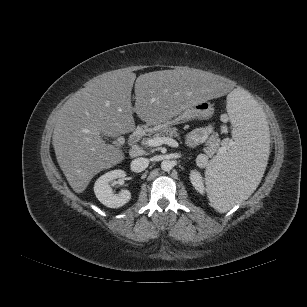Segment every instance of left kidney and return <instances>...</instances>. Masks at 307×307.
I'll return each instance as SVG.
<instances>
[{
  "mask_svg": "<svg viewBox=\"0 0 307 307\" xmlns=\"http://www.w3.org/2000/svg\"><path fill=\"white\" fill-rule=\"evenodd\" d=\"M190 180L192 185L195 187V189L203 194L204 193V185H203V180L202 176L199 171L197 170H192L190 173Z\"/></svg>",
  "mask_w": 307,
  "mask_h": 307,
  "instance_id": "5707ae66",
  "label": "left kidney"
}]
</instances>
